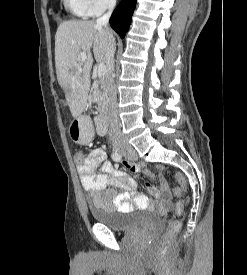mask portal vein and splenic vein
Returning <instances> with one entry per match:
<instances>
[{
    "label": "portal vein and splenic vein",
    "mask_w": 247,
    "mask_h": 275,
    "mask_svg": "<svg viewBox=\"0 0 247 275\" xmlns=\"http://www.w3.org/2000/svg\"><path fill=\"white\" fill-rule=\"evenodd\" d=\"M81 58L84 60L87 56L86 52H81ZM81 71V68L79 69ZM107 72V69H106V66L105 64H99L98 67H97V74L99 77H102L106 74Z\"/></svg>",
    "instance_id": "1"
}]
</instances>
